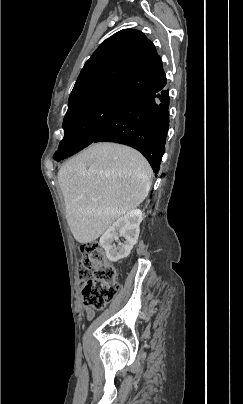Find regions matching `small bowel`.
Here are the masks:
<instances>
[{"label": "small bowel", "mask_w": 243, "mask_h": 404, "mask_svg": "<svg viewBox=\"0 0 243 404\" xmlns=\"http://www.w3.org/2000/svg\"><path fill=\"white\" fill-rule=\"evenodd\" d=\"M87 317L92 318L93 317V312L91 310L87 311Z\"/></svg>", "instance_id": "obj_1"}]
</instances>
